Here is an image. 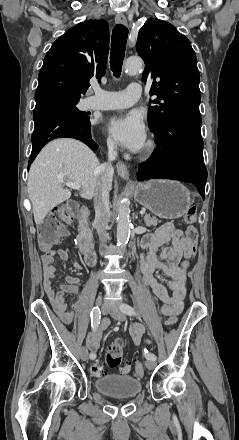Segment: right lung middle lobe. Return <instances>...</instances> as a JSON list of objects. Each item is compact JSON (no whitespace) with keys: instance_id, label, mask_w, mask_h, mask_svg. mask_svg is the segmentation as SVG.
<instances>
[{"instance_id":"dd1d6c3e","label":"right lung middle lobe","mask_w":239,"mask_h":440,"mask_svg":"<svg viewBox=\"0 0 239 440\" xmlns=\"http://www.w3.org/2000/svg\"><path fill=\"white\" fill-rule=\"evenodd\" d=\"M80 97H64V96H57V97H51L39 102H36V105L44 104V103H56L59 105H62L66 108H68L77 118L80 119H87L88 113L79 111L76 108V104L79 102Z\"/></svg>"}]
</instances>
